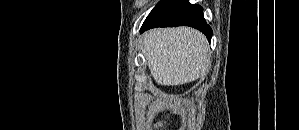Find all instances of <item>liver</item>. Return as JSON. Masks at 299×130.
Returning a JSON list of instances; mask_svg holds the SVG:
<instances>
[{
	"label": "liver",
	"mask_w": 299,
	"mask_h": 130,
	"mask_svg": "<svg viewBox=\"0 0 299 130\" xmlns=\"http://www.w3.org/2000/svg\"><path fill=\"white\" fill-rule=\"evenodd\" d=\"M142 45L151 76L158 85H183L209 70L208 42L198 30L153 29L143 35Z\"/></svg>",
	"instance_id": "liver-1"
}]
</instances>
